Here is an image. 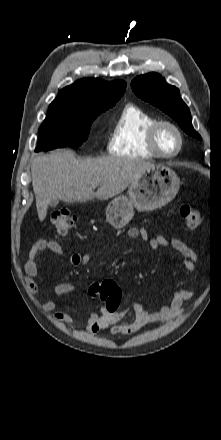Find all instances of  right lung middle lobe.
I'll list each match as a JSON object with an SVG mask.
<instances>
[{
  "instance_id": "obj_1",
  "label": "right lung middle lobe",
  "mask_w": 221,
  "mask_h": 440,
  "mask_svg": "<svg viewBox=\"0 0 221 440\" xmlns=\"http://www.w3.org/2000/svg\"><path fill=\"white\" fill-rule=\"evenodd\" d=\"M108 108L50 105L48 114L39 128V142L35 151L80 146L87 140L94 119Z\"/></svg>"
}]
</instances>
